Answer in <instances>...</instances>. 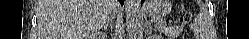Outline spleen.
Here are the masks:
<instances>
[{"instance_id":"1","label":"spleen","mask_w":249,"mask_h":39,"mask_svg":"<svg viewBox=\"0 0 249 39\" xmlns=\"http://www.w3.org/2000/svg\"><path fill=\"white\" fill-rule=\"evenodd\" d=\"M200 11L195 17L193 29L196 39H209L211 20L203 2H199Z\"/></svg>"}]
</instances>
